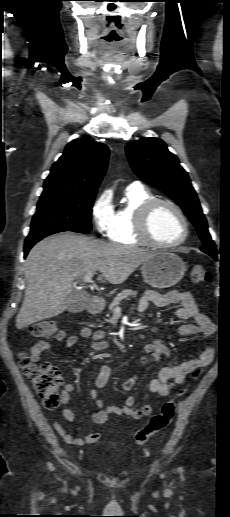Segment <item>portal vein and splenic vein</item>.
Listing matches in <instances>:
<instances>
[{
  "label": "portal vein and splenic vein",
  "mask_w": 230,
  "mask_h": 517,
  "mask_svg": "<svg viewBox=\"0 0 230 517\" xmlns=\"http://www.w3.org/2000/svg\"><path fill=\"white\" fill-rule=\"evenodd\" d=\"M92 277H93V273L89 272V273L85 274V276L83 277V280L85 283H90L92 281Z\"/></svg>",
  "instance_id": "obj_1"
}]
</instances>
